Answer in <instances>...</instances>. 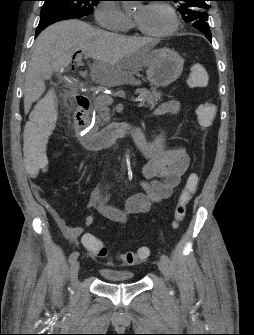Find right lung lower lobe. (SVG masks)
I'll return each instance as SVG.
<instances>
[{"label":"right lung lower lobe","instance_id":"obj_1","mask_svg":"<svg viewBox=\"0 0 254 335\" xmlns=\"http://www.w3.org/2000/svg\"><path fill=\"white\" fill-rule=\"evenodd\" d=\"M65 19H74V17H71L63 13H53V14H47V15L41 16L35 35L37 36L47 26L57 21L65 20Z\"/></svg>","mask_w":254,"mask_h":335}]
</instances>
